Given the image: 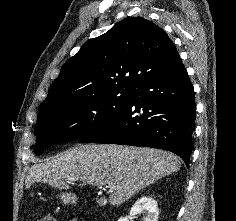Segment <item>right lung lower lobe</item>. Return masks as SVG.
<instances>
[{
	"label": "right lung lower lobe",
	"instance_id": "obj_1",
	"mask_svg": "<svg viewBox=\"0 0 236 221\" xmlns=\"http://www.w3.org/2000/svg\"><path fill=\"white\" fill-rule=\"evenodd\" d=\"M195 115L194 89L178 56L132 88L128 102L79 142L164 149L188 166Z\"/></svg>",
	"mask_w": 236,
	"mask_h": 221
}]
</instances>
